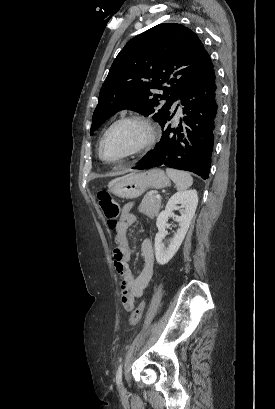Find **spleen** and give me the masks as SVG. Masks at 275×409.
I'll list each match as a JSON object with an SVG mask.
<instances>
[{
	"instance_id": "3e777b00",
	"label": "spleen",
	"mask_w": 275,
	"mask_h": 409,
	"mask_svg": "<svg viewBox=\"0 0 275 409\" xmlns=\"http://www.w3.org/2000/svg\"><path fill=\"white\" fill-rule=\"evenodd\" d=\"M166 172L175 182L177 186V190H186V188H189L193 182V178L189 172H184V170H174V168H166Z\"/></svg>"
}]
</instances>
